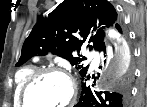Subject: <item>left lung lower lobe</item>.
<instances>
[{
	"instance_id": "left-lung-lower-lobe-1",
	"label": "left lung lower lobe",
	"mask_w": 147,
	"mask_h": 107,
	"mask_svg": "<svg viewBox=\"0 0 147 107\" xmlns=\"http://www.w3.org/2000/svg\"><path fill=\"white\" fill-rule=\"evenodd\" d=\"M115 27L122 33L120 26ZM101 51L105 54L106 47H103ZM82 77L83 83L80 101L74 107H127L130 96L128 77L113 90L105 92L94 91V93L89 86H86V80L90 76L84 75Z\"/></svg>"
}]
</instances>
